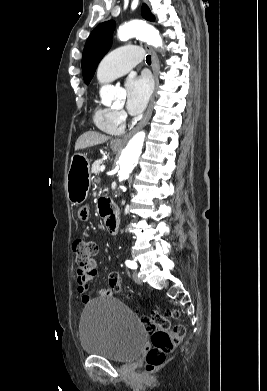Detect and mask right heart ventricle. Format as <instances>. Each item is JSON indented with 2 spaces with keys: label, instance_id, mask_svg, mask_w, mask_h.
<instances>
[{
  "label": "right heart ventricle",
  "instance_id": "right-heart-ventricle-1",
  "mask_svg": "<svg viewBox=\"0 0 267 391\" xmlns=\"http://www.w3.org/2000/svg\"><path fill=\"white\" fill-rule=\"evenodd\" d=\"M93 122L97 128L110 135H118L124 129L117 112L101 104H97L94 108Z\"/></svg>",
  "mask_w": 267,
  "mask_h": 391
}]
</instances>
